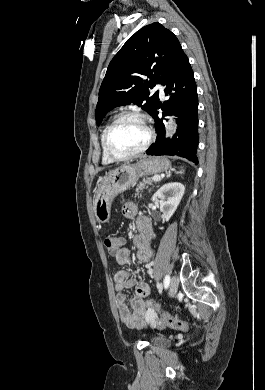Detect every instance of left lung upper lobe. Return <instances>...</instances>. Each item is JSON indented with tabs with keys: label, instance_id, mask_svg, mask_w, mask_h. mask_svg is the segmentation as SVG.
Instances as JSON below:
<instances>
[{
	"label": "left lung upper lobe",
	"instance_id": "1",
	"mask_svg": "<svg viewBox=\"0 0 265 390\" xmlns=\"http://www.w3.org/2000/svg\"><path fill=\"white\" fill-rule=\"evenodd\" d=\"M182 52L177 37L158 22L132 35L107 68L95 110L97 125L110 110L130 103L152 116L159 97L149 88L163 84Z\"/></svg>",
	"mask_w": 265,
	"mask_h": 390
}]
</instances>
